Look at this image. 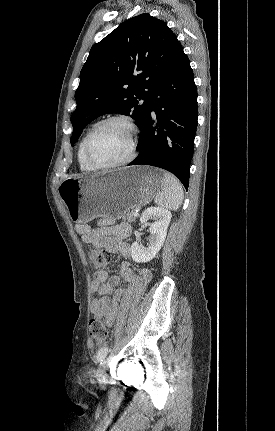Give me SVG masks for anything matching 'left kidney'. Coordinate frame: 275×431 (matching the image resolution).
<instances>
[{
    "label": "left kidney",
    "instance_id": "1",
    "mask_svg": "<svg viewBox=\"0 0 275 431\" xmlns=\"http://www.w3.org/2000/svg\"><path fill=\"white\" fill-rule=\"evenodd\" d=\"M171 217L172 214L170 211L159 207L147 208L142 213L140 218L142 224L146 223L149 219H153L154 222L149 228L150 238L147 248L142 247L138 242L132 243L131 256L135 262H148L156 256L165 241Z\"/></svg>",
    "mask_w": 275,
    "mask_h": 431
}]
</instances>
